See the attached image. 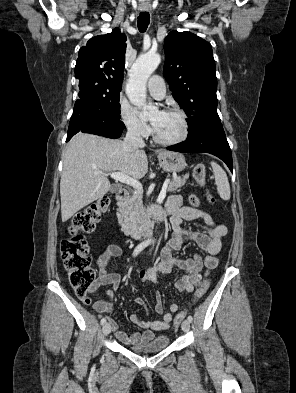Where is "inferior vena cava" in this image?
<instances>
[{
	"label": "inferior vena cava",
	"instance_id": "obj_1",
	"mask_svg": "<svg viewBox=\"0 0 296 393\" xmlns=\"http://www.w3.org/2000/svg\"><path fill=\"white\" fill-rule=\"evenodd\" d=\"M145 143L141 137L140 131L136 127L128 128L123 148L126 151H134L140 147H144Z\"/></svg>",
	"mask_w": 296,
	"mask_h": 393
}]
</instances>
